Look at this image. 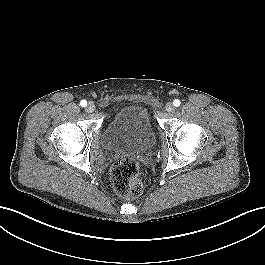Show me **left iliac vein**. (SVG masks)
Segmentation results:
<instances>
[{
  "mask_svg": "<svg viewBox=\"0 0 265 265\" xmlns=\"http://www.w3.org/2000/svg\"><path fill=\"white\" fill-rule=\"evenodd\" d=\"M165 109H166L167 112L170 113V112H173L175 110V107H174V105L171 102H169V103L166 104Z\"/></svg>",
  "mask_w": 265,
  "mask_h": 265,
  "instance_id": "4c4485c4",
  "label": "left iliac vein"
}]
</instances>
